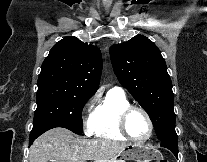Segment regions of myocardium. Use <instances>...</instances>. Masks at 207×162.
Returning a JSON list of instances; mask_svg holds the SVG:
<instances>
[{
    "instance_id": "myocardium-1",
    "label": "myocardium",
    "mask_w": 207,
    "mask_h": 162,
    "mask_svg": "<svg viewBox=\"0 0 207 162\" xmlns=\"http://www.w3.org/2000/svg\"><path fill=\"white\" fill-rule=\"evenodd\" d=\"M134 111H139L141 112L145 118L147 119L148 122V126H149V132L147 134L146 137L142 138V139H138V138H134L128 131L127 129V121L128 118L130 116V114ZM118 129L120 131V133L126 137L127 139L133 141V142H137V143H143L148 141L154 132V125H153V121L149 115V113L141 106H137V105H129L126 108H124L118 117Z\"/></svg>"
}]
</instances>
